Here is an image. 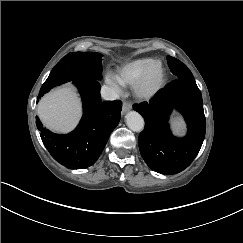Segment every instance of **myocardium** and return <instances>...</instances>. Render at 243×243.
Returning a JSON list of instances; mask_svg holds the SVG:
<instances>
[{"mask_svg":"<svg viewBox=\"0 0 243 243\" xmlns=\"http://www.w3.org/2000/svg\"><path fill=\"white\" fill-rule=\"evenodd\" d=\"M160 70V79L156 84L151 85L152 78L155 73V68ZM168 82V73L162 62L150 66L139 82L133 88L134 96L143 101H149L158 96L166 87Z\"/></svg>","mask_w":243,"mask_h":243,"instance_id":"obj_1","label":"myocardium"}]
</instances>
